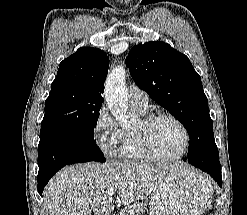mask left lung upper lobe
Returning a JSON list of instances; mask_svg holds the SVG:
<instances>
[{"mask_svg": "<svg viewBox=\"0 0 247 215\" xmlns=\"http://www.w3.org/2000/svg\"><path fill=\"white\" fill-rule=\"evenodd\" d=\"M134 82L179 120L191 148L214 141L213 122L201 78L189 58L164 42L135 45L125 61Z\"/></svg>", "mask_w": 247, "mask_h": 215, "instance_id": "5c2ea615", "label": "left lung upper lobe"}]
</instances>
